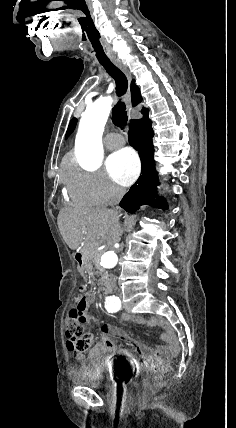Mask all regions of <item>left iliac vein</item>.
<instances>
[{
  "instance_id": "obj_1",
  "label": "left iliac vein",
  "mask_w": 236,
  "mask_h": 428,
  "mask_svg": "<svg viewBox=\"0 0 236 428\" xmlns=\"http://www.w3.org/2000/svg\"><path fill=\"white\" fill-rule=\"evenodd\" d=\"M119 299H121V301H124V298L121 294L119 295Z\"/></svg>"
}]
</instances>
